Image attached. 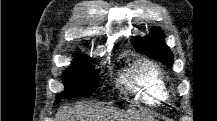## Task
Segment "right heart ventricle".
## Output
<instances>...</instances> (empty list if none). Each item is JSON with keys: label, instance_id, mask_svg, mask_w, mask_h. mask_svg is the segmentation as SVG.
<instances>
[{"label": "right heart ventricle", "instance_id": "obj_1", "mask_svg": "<svg viewBox=\"0 0 217 121\" xmlns=\"http://www.w3.org/2000/svg\"><path fill=\"white\" fill-rule=\"evenodd\" d=\"M126 88L132 93L142 90L145 101L156 103L167 97L166 79L162 71L152 63H142L131 71V80L126 83Z\"/></svg>", "mask_w": 217, "mask_h": 121}]
</instances>
